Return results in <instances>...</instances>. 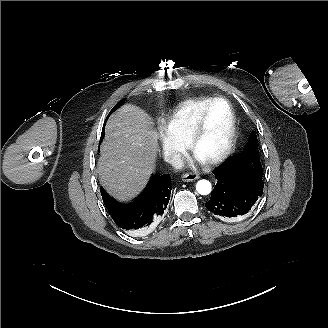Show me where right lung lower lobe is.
I'll return each instance as SVG.
<instances>
[{
	"mask_svg": "<svg viewBox=\"0 0 328 328\" xmlns=\"http://www.w3.org/2000/svg\"><path fill=\"white\" fill-rule=\"evenodd\" d=\"M171 185L169 175L153 176L144 193L130 204H121L109 197L100 187L103 202L117 224L126 231H134L150 226L162 216L170 200Z\"/></svg>",
	"mask_w": 328,
	"mask_h": 328,
	"instance_id": "1",
	"label": "right lung lower lobe"
}]
</instances>
